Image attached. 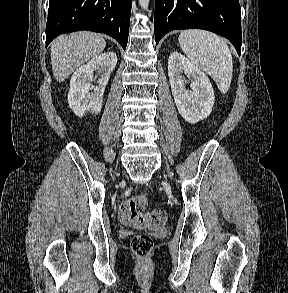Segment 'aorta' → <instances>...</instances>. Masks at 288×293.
<instances>
[{
    "mask_svg": "<svg viewBox=\"0 0 288 293\" xmlns=\"http://www.w3.org/2000/svg\"><path fill=\"white\" fill-rule=\"evenodd\" d=\"M149 1L150 0H139V4L140 6L145 10L148 8L149 6Z\"/></svg>",
    "mask_w": 288,
    "mask_h": 293,
    "instance_id": "aorta-1",
    "label": "aorta"
}]
</instances>
